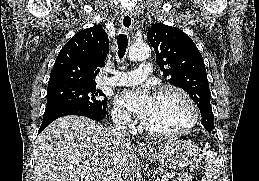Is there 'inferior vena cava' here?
<instances>
[{
  "instance_id": "602c4592",
  "label": "inferior vena cava",
  "mask_w": 259,
  "mask_h": 181,
  "mask_svg": "<svg viewBox=\"0 0 259 181\" xmlns=\"http://www.w3.org/2000/svg\"><path fill=\"white\" fill-rule=\"evenodd\" d=\"M127 116H120L114 120V132L118 140L124 144L130 143V134L127 130ZM105 181H123V174L116 166L111 168Z\"/></svg>"
}]
</instances>
